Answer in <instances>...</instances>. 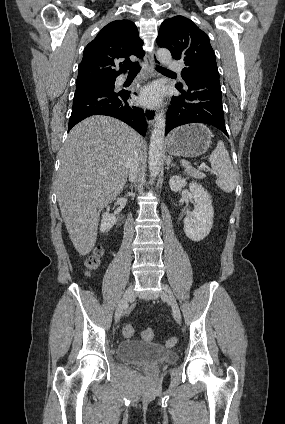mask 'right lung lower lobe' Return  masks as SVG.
Masks as SVG:
<instances>
[{"label":"right lung lower lobe","instance_id":"98d812e1","mask_svg":"<svg viewBox=\"0 0 285 424\" xmlns=\"http://www.w3.org/2000/svg\"><path fill=\"white\" fill-rule=\"evenodd\" d=\"M129 91H114L107 88H85L76 90L73 99L68 131L81 120L92 115L115 117L145 136L147 123L142 108L130 105Z\"/></svg>","mask_w":285,"mask_h":424}]
</instances>
